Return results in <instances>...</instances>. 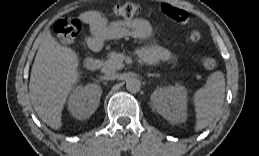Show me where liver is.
Here are the masks:
<instances>
[{
    "mask_svg": "<svg viewBox=\"0 0 259 156\" xmlns=\"http://www.w3.org/2000/svg\"><path fill=\"white\" fill-rule=\"evenodd\" d=\"M78 66L77 54L46 30L32 66L29 95L39 118L53 129L62 127V110L80 78Z\"/></svg>",
    "mask_w": 259,
    "mask_h": 156,
    "instance_id": "liver-1",
    "label": "liver"
}]
</instances>
